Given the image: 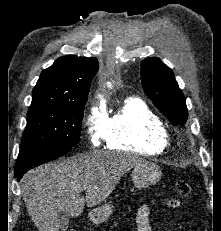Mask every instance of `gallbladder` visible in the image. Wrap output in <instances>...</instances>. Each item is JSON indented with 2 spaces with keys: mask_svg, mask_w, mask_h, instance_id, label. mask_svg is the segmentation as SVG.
Returning a JSON list of instances; mask_svg holds the SVG:
<instances>
[{
  "mask_svg": "<svg viewBox=\"0 0 221 231\" xmlns=\"http://www.w3.org/2000/svg\"><path fill=\"white\" fill-rule=\"evenodd\" d=\"M60 231H66L69 227V217L67 214H60L58 217Z\"/></svg>",
  "mask_w": 221,
  "mask_h": 231,
  "instance_id": "gallbladder-1",
  "label": "gallbladder"
}]
</instances>
